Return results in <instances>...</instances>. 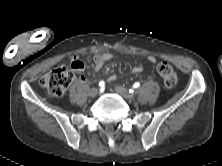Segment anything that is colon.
<instances>
[{"mask_svg":"<svg viewBox=\"0 0 222 166\" xmlns=\"http://www.w3.org/2000/svg\"><path fill=\"white\" fill-rule=\"evenodd\" d=\"M157 71L163 80L165 87L173 88L178 83V75L176 70L167 62H161L157 66ZM74 79V74L66 65H61L40 79V85L44 87L52 96H62Z\"/></svg>","mask_w":222,"mask_h":166,"instance_id":"obj_1","label":"colon"}]
</instances>
